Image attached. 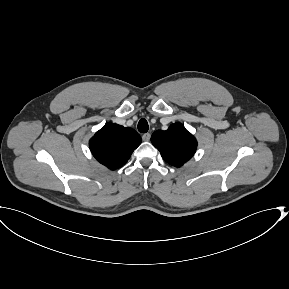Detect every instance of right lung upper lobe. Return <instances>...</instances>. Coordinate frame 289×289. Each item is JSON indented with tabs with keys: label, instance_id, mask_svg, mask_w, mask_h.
Listing matches in <instances>:
<instances>
[{
	"label": "right lung upper lobe",
	"instance_id": "1",
	"mask_svg": "<svg viewBox=\"0 0 289 289\" xmlns=\"http://www.w3.org/2000/svg\"><path fill=\"white\" fill-rule=\"evenodd\" d=\"M141 141L134 129L110 123L96 132L90 139L89 146L98 162L115 170L128 161Z\"/></svg>",
	"mask_w": 289,
	"mask_h": 289
}]
</instances>
